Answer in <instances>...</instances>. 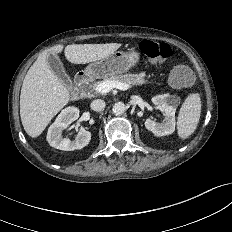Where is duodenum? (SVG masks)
<instances>
[{
  "label": "duodenum",
  "mask_w": 232,
  "mask_h": 232,
  "mask_svg": "<svg viewBox=\"0 0 232 232\" xmlns=\"http://www.w3.org/2000/svg\"><path fill=\"white\" fill-rule=\"evenodd\" d=\"M89 79H90L89 73H87V72H79L75 76V83L79 87H84L89 82Z\"/></svg>",
  "instance_id": "1"
}]
</instances>
